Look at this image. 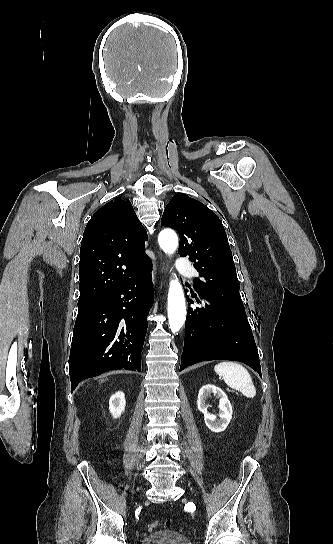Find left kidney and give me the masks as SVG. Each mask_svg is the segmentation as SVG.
<instances>
[{
	"mask_svg": "<svg viewBox=\"0 0 333 544\" xmlns=\"http://www.w3.org/2000/svg\"><path fill=\"white\" fill-rule=\"evenodd\" d=\"M211 394L219 398V419H217L216 415L208 412L206 399ZM197 407L204 414L205 424L212 432L219 433L224 431L232 419V406L227 395L222 389L214 385L207 384L201 387L198 394Z\"/></svg>",
	"mask_w": 333,
	"mask_h": 544,
	"instance_id": "1",
	"label": "left kidney"
}]
</instances>
